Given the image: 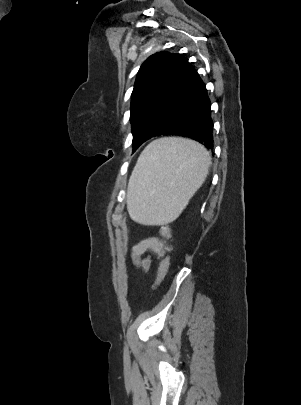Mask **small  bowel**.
Segmentation results:
<instances>
[{
    "label": "small bowel",
    "instance_id": "obj_1",
    "mask_svg": "<svg viewBox=\"0 0 301 405\" xmlns=\"http://www.w3.org/2000/svg\"><path fill=\"white\" fill-rule=\"evenodd\" d=\"M169 250V247L159 237H148L139 241L132 248V257L137 268H142L146 271L150 269L151 261L146 254L153 252L162 257Z\"/></svg>",
    "mask_w": 301,
    "mask_h": 405
}]
</instances>
